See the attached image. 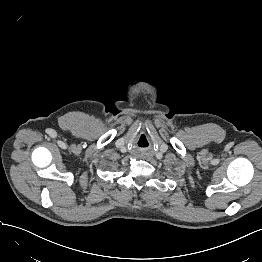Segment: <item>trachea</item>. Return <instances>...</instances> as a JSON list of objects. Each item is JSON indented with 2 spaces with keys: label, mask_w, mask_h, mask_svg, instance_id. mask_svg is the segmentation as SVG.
<instances>
[{
  "label": "trachea",
  "mask_w": 262,
  "mask_h": 262,
  "mask_svg": "<svg viewBox=\"0 0 262 262\" xmlns=\"http://www.w3.org/2000/svg\"><path fill=\"white\" fill-rule=\"evenodd\" d=\"M139 147H147L149 145L148 139L145 135H141L137 142Z\"/></svg>",
  "instance_id": "3493384b"
}]
</instances>
